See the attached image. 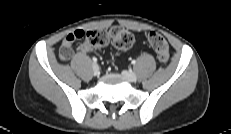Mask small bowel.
<instances>
[{"instance_id": "1", "label": "small bowel", "mask_w": 231, "mask_h": 134, "mask_svg": "<svg viewBox=\"0 0 231 134\" xmlns=\"http://www.w3.org/2000/svg\"><path fill=\"white\" fill-rule=\"evenodd\" d=\"M74 33L75 31L69 33L63 40L62 45L60 47L59 57L63 61L69 60L73 55L74 52L73 43L77 39L75 38ZM77 50L79 53H83V54L91 53V49L86 44L80 45Z\"/></svg>"}]
</instances>
